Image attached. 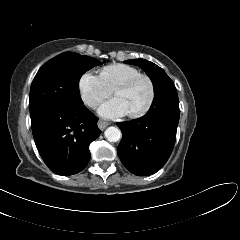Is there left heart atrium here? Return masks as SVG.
I'll list each match as a JSON object with an SVG mask.
<instances>
[{"label": "left heart atrium", "mask_w": 240, "mask_h": 240, "mask_svg": "<svg viewBox=\"0 0 240 240\" xmlns=\"http://www.w3.org/2000/svg\"><path fill=\"white\" fill-rule=\"evenodd\" d=\"M98 113L104 118L116 119L131 112L126 101L123 98L116 96L104 102L98 109Z\"/></svg>", "instance_id": "1"}]
</instances>
